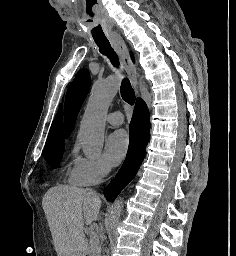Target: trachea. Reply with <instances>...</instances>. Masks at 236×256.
Instances as JSON below:
<instances>
[{"label":"trachea","mask_w":236,"mask_h":256,"mask_svg":"<svg viewBox=\"0 0 236 256\" xmlns=\"http://www.w3.org/2000/svg\"><path fill=\"white\" fill-rule=\"evenodd\" d=\"M95 43L98 45L99 50L103 55H106L113 66L119 67V60L116 52L111 48V45L107 38L95 39ZM121 97L129 105H133L135 102V92L128 80V78H123L120 86Z\"/></svg>","instance_id":"3493384b"}]
</instances>
